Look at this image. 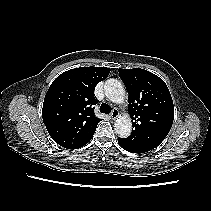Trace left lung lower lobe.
Listing matches in <instances>:
<instances>
[{"mask_svg":"<svg viewBox=\"0 0 211 211\" xmlns=\"http://www.w3.org/2000/svg\"><path fill=\"white\" fill-rule=\"evenodd\" d=\"M118 143H119V145H120L123 149H125V150H127V151H129V152L140 153V152H136V151H131V150H129V149L125 146V144H124V142H123V140H122L121 138H118Z\"/></svg>","mask_w":211,"mask_h":211,"instance_id":"obj_1","label":"left lung lower lobe"}]
</instances>
